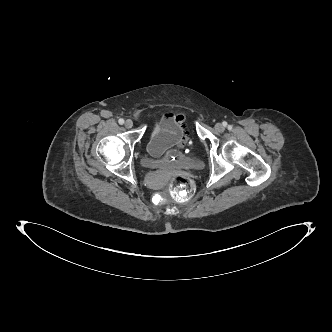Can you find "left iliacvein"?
I'll return each instance as SVG.
<instances>
[{
  "label": "left iliac vein",
  "mask_w": 332,
  "mask_h": 332,
  "mask_svg": "<svg viewBox=\"0 0 332 332\" xmlns=\"http://www.w3.org/2000/svg\"><path fill=\"white\" fill-rule=\"evenodd\" d=\"M215 130L218 132H223L225 130L224 126L221 123L215 125Z\"/></svg>",
  "instance_id": "left-iliac-vein-1"
}]
</instances>
